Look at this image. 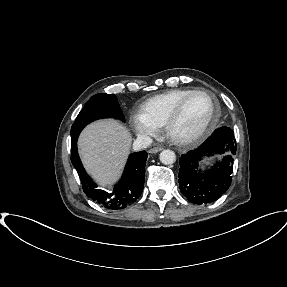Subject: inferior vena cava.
I'll list each match as a JSON object with an SVG mask.
<instances>
[{
  "instance_id": "obj_1",
  "label": "inferior vena cava",
  "mask_w": 287,
  "mask_h": 287,
  "mask_svg": "<svg viewBox=\"0 0 287 287\" xmlns=\"http://www.w3.org/2000/svg\"><path fill=\"white\" fill-rule=\"evenodd\" d=\"M152 143V138L147 135H138L133 143V149L138 151L147 148Z\"/></svg>"
}]
</instances>
